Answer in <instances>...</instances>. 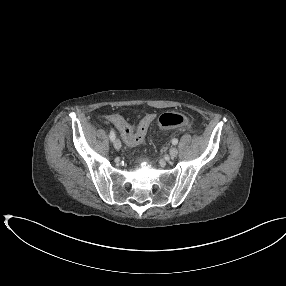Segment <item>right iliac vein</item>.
I'll return each instance as SVG.
<instances>
[{
  "label": "right iliac vein",
  "instance_id": "63e3f726",
  "mask_svg": "<svg viewBox=\"0 0 286 286\" xmlns=\"http://www.w3.org/2000/svg\"><path fill=\"white\" fill-rule=\"evenodd\" d=\"M113 145H114L115 149L119 150L121 148V141L118 138H116L114 140Z\"/></svg>",
  "mask_w": 286,
  "mask_h": 286
}]
</instances>
